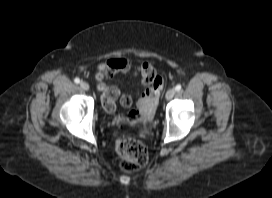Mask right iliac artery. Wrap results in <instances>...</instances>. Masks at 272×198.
<instances>
[{"mask_svg":"<svg viewBox=\"0 0 272 198\" xmlns=\"http://www.w3.org/2000/svg\"><path fill=\"white\" fill-rule=\"evenodd\" d=\"M74 82H75L76 84H78V83H80V79H79V78H75V79H74Z\"/></svg>","mask_w":272,"mask_h":198,"instance_id":"obj_1","label":"right iliac artery"}]
</instances>
